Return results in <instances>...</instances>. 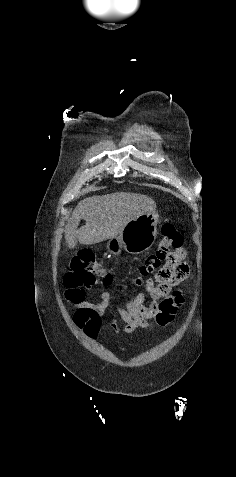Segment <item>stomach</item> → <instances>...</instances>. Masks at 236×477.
<instances>
[{
  "label": "stomach",
  "mask_w": 236,
  "mask_h": 477,
  "mask_svg": "<svg viewBox=\"0 0 236 477\" xmlns=\"http://www.w3.org/2000/svg\"><path fill=\"white\" fill-rule=\"evenodd\" d=\"M159 215L146 213L131 220L118 236L107 242V250L118 255L122 250L130 254H141L149 250L157 237Z\"/></svg>",
  "instance_id": "obj_1"
}]
</instances>
